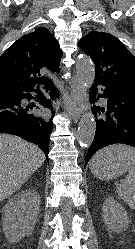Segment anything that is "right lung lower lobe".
I'll use <instances>...</instances> for the list:
<instances>
[{
  "instance_id": "right-lung-lower-lobe-1",
  "label": "right lung lower lobe",
  "mask_w": 135,
  "mask_h": 249,
  "mask_svg": "<svg viewBox=\"0 0 135 249\" xmlns=\"http://www.w3.org/2000/svg\"><path fill=\"white\" fill-rule=\"evenodd\" d=\"M47 85L53 86V82L51 81ZM29 92L40 94V91L33 87L14 91L0 90V133L13 134L35 143L47 156L49 152V136L53 126L52 119L46 121L40 118L32 112L35 105L23 103V99L30 100L33 98ZM58 96V90L52 87L50 97L54 99ZM36 101L44 107L52 108L50 99L45 96H38ZM36 108L38 107L36 106Z\"/></svg>"
}]
</instances>
